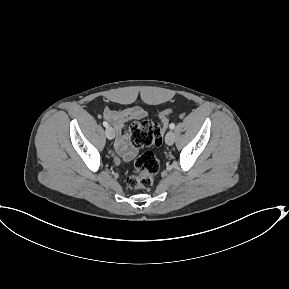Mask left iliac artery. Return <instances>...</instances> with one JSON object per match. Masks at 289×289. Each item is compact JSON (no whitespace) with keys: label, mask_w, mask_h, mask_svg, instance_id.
Instances as JSON below:
<instances>
[{"label":"left iliac artery","mask_w":289,"mask_h":289,"mask_svg":"<svg viewBox=\"0 0 289 289\" xmlns=\"http://www.w3.org/2000/svg\"><path fill=\"white\" fill-rule=\"evenodd\" d=\"M169 128H170V129H174V128H175V124H174V123H171V124L169 125Z\"/></svg>","instance_id":"1"}]
</instances>
